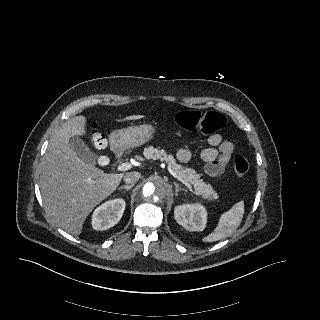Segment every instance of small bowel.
Returning a JSON list of instances; mask_svg holds the SVG:
<instances>
[{
	"mask_svg": "<svg viewBox=\"0 0 320 320\" xmlns=\"http://www.w3.org/2000/svg\"><path fill=\"white\" fill-rule=\"evenodd\" d=\"M207 142L209 146L200 154L205 172L210 177H219L229 164L235 152V145L231 140L223 139L218 133L210 135ZM177 158L182 163H188L192 158V152L187 148H182L178 151Z\"/></svg>",
	"mask_w": 320,
	"mask_h": 320,
	"instance_id": "small-bowel-1",
	"label": "small bowel"
}]
</instances>
